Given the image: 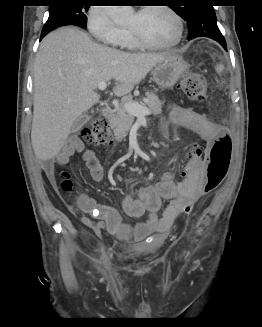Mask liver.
Returning <instances> with one entry per match:
<instances>
[{
	"instance_id": "6515ba94",
	"label": "liver",
	"mask_w": 262,
	"mask_h": 327,
	"mask_svg": "<svg viewBox=\"0 0 262 327\" xmlns=\"http://www.w3.org/2000/svg\"><path fill=\"white\" fill-rule=\"evenodd\" d=\"M167 56L100 45L76 27L50 33L34 63L31 142L36 157L47 161L60 152L74 121L99 102V83L114 79V94H129Z\"/></svg>"
}]
</instances>
